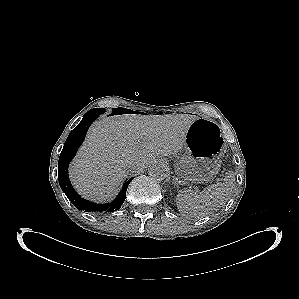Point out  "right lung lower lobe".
<instances>
[{
    "label": "right lung lower lobe",
    "instance_id": "98d812e1",
    "mask_svg": "<svg viewBox=\"0 0 299 299\" xmlns=\"http://www.w3.org/2000/svg\"><path fill=\"white\" fill-rule=\"evenodd\" d=\"M98 116L99 114L84 115L81 122L70 132L60 154L58 163V180L62 191L77 209L81 211L84 210L86 212H113L119 210L121 205L124 203L127 187L133 178L129 179L123 185L122 191L111 203L96 204L81 198L72 187L68 177V165L75 156L78 147L83 142L88 128Z\"/></svg>",
    "mask_w": 299,
    "mask_h": 299
}]
</instances>
